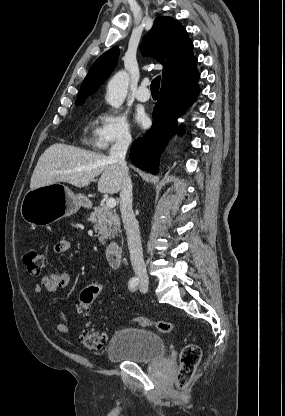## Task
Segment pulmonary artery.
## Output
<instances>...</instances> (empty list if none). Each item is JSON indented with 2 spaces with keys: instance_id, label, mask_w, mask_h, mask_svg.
<instances>
[{
  "instance_id": "1",
  "label": "pulmonary artery",
  "mask_w": 285,
  "mask_h": 416,
  "mask_svg": "<svg viewBox=\"0 0 285 416\" xmlns=\"http://www.w3.org/2000/svg\"><path fill=\"white\" fill-rule=\"evenodd\" d=\"M149 85V81L147 79L143 80L139 88L136 92V98L139 101H148L150 96L148 95V89L147 86Z\"/></svg>"
}]
</instances>
